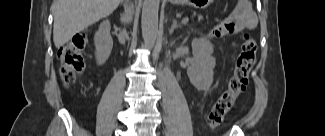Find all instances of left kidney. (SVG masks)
<instances>
[{"label": "left kidney", "mask_w": 325, "mask_h": 136, "mask_svg": "<svg viewBox=\"0 0 325 136\" xmlns=\"http://www.w3.org/2000/svg\"><path fill=\"white\" fill-rule=\"evenodd\" d=\"M213 45L206 37L192 41V53L195 62L187 68V75L193 86L199 91H208L213 83L215 58Z\"/></svg>", "instance_id": "1"}]
</instances>
